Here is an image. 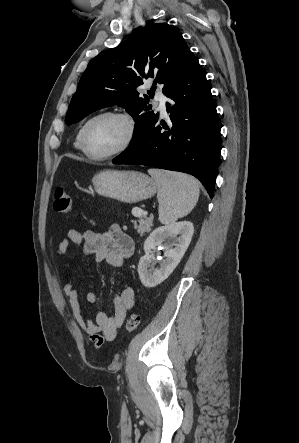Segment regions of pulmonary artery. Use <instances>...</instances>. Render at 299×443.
<instances>
[{
    "label": "pulmonary artery",
    "instance_id": "pulmonary-artery-1",
    "mask_svg": "<svg viewBox=\"0 0 299 443\" xmlns=\"http://www.w3.org/2000/svg\"><path fill=\"white\" fill-rule=\"evenodd\" d=\"M155 98H156V101L159 103L160 112L163 115H165L166 114L167 97L161 91H157Z\"/></svg>",
    "mask_w": 299,
    "mask_h": 443
}]
</instances>
